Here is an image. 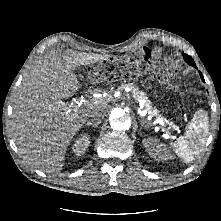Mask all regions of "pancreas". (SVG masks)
Listing matches in <instances>:
<instances>
[{"mask_svg": "<svg viewBox=\"0 0 221 221\" xmlns=\"http://www.w3.org/2000/svg\"><path fill=\"white\" fill-rule=\"evenodd\" d=\"M125 86L130 88L132 96H133L135 101H138V102L145 101V103L143 104V107L146 109V111L150 115L159 116L157 109L152 107V104L148 100L146 94L143 91L139 90L137 85H135L133 83H129V84H126Z\"/></svg>", "mask_w": 221, "mask_h": 221, "instance_id": "pancreas-1", "label": "pancreas"}]
</instances>
